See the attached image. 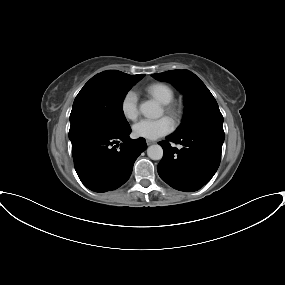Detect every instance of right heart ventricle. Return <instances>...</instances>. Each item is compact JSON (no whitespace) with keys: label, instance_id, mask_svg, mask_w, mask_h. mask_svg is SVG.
Segmentation results:
<instances>
[{"label":"right heart ventricle","instance_id":"obj_1","mask_svg":"<svg viewBox=\"0 0 285 285\" xmlns=\"http://www.w3.org/2000/svg\"><path fill=\"white\" fill-rule=\"evenodd\" d=\"M145 91L162 104L170 103L175 96L173 88L164 82H155L146 86Z\"/></svg>","mask_w":285,"mask_h":285}]
</instances>
